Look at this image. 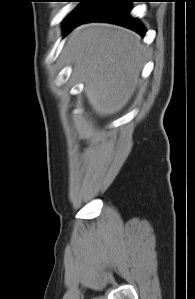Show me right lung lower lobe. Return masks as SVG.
I'll return each instance as SVG.
<instances>
[{
	"mask_svg": "<svg viewBox=\"0 0 195 299\" xmlns=\"http://www.w3.org/2000/svg\"><path fill=\"white\" fill-rule=\"evenodd\" d=\"M130 3L131 0H95L80 19L67 27L66 33L79 24L100 21L127 27L144 36V26L130 15Z\"/></svg>",
	"mask_w": 195,
	"mask_h": 299,
	"instance_id": "right-lung-lower-lobe-1",
	"label": "right lung lower lobe"
}]
</instances>
